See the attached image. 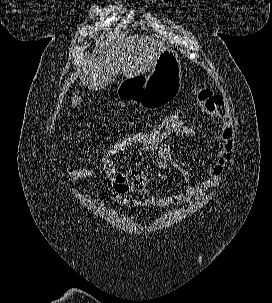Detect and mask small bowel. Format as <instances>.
<instances>
[{
  "label": "small bowel",
  "instance_id": "obj_1",
  "mask_svg": "<svg viewBox=\"0 0 272 303\" xmlns=\"http://www.w3.org/2000/svg\"><path fill=\"white\" fill-rule=\"evenodd\" d=\"M194 95L203 112L217 120L219 124L214 163L207 170L201 181L192 184L190 182L189 172L175 162L171 150L166 144L136 150L140 154H154L157 157L156 165L159 169L174 167L186 182V187L183 192H170L167 194L154 193L148 195L146 201L153 206L167 208L172 204L183 205L189 203L194 198H201L208 189L216 186L221 181L225 165L231 158L232 130L222 97L215 95L204 85L196 86ZM194 135L195 130L190 125L177 134V136L181 137H193ZM104 176L111 181L115 194L126 195L138 190L143 185L145 177L150 175L140 169H132L127 172H121L116 169L114 172L104 174Z\"/></svg>",
  "mask_w": 272,
  "mask_h": 303
}]
</instances>
